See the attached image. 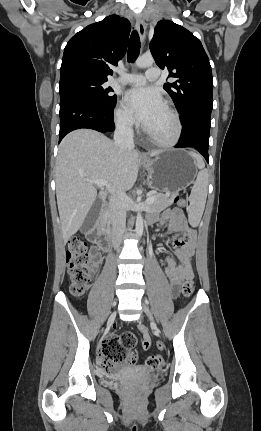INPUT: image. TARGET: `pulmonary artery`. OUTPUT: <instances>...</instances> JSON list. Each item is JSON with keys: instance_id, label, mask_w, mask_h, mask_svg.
<instances>
[{"instance_id": "pulmonary-artery-1", "label": "pulmonary artery", "mask_w": 261, "mask_h": 431, "mask_svg": "<svg viewBox=\"0 0 261 431\" xmlns=\"http://www.w3.org/2000/svg\"><path fill=\"white\" fill-rule=\"evenodd\" d=\"M160 77V70L158 68L152 67L149 68L145 75L130 73L124 75L122 78L118 79V81L130 84V85H143L146 81H154Z\"/></svg>"}]
</instances>
